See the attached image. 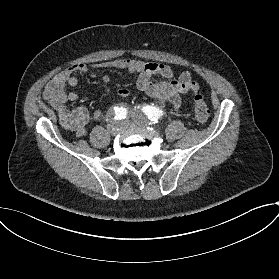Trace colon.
Segmentation results:
<instances>
[{"mask_svg": "<svg viewBox=\"0 0 279 279\" xmlns=\"http://www.w3.org/2000/svg\"><path fill=\"white\" fill-rule=\"evenodd\" d=\"M194 117L199 123H205L209 117V110L205 103L202 92L196 91L193 95Z\"/></svg>", "mask_w": 279, "mask_h": 279, "instance_id": "1", "label": "colon"}]
</instances>
